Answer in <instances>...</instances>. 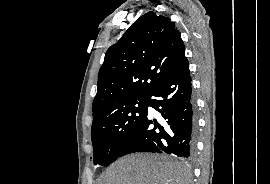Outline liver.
<instances>
[{"instance_id": "liver-1", "label": "liver", "mask_w": 270, "mask_h": 184, "mask_svg": "<svg viewBox=\"0 0 270 184\" xmlns=\"http://www.w3.org/2000/svg\"><path fill=\"white\" fill-rule=\"evenodd\" d=\"M185 164L150 154L118 159L101 175L99 184H189Z\"/></svg>"}]
</instances>
